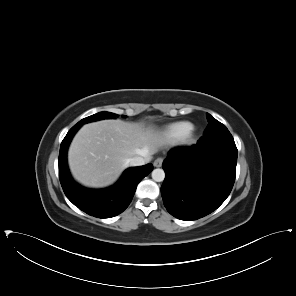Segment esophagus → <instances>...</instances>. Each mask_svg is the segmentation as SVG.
Wrapping results in <instances>:
<instances>
[{
    "mask_svg": "<svg viewBox=\"0 0 296 296\" xmlns=\"http://www.w3.org/2000/svg\"><path fill=\"white\" fill-rule=\"evenodd\" d=\"M163 158L162 157H159L157 158L155 161H154V166L155 167H161L162 163H163Z\"/></svg>",
    "mask_w": 296,
    "mask_h": 296,
    "instance_id": "1",
    "label": "esophagus"
}]
</instances>
